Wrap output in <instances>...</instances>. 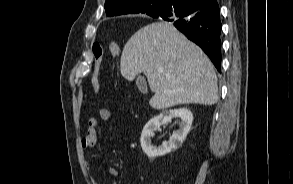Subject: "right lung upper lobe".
Wrapping results in <instances>:
<instances>
[{"mask_svg": "<svg viewBox=\"0 0 293 184\" xmlns=\"http://www.w3.org/2000/svg\"><path fill=\"white\" fill-rule=\"evenodd\" d=\"M155 1H158V0H106L104 8H105L107 16L146 13L147 15L154 17L160 13V12H156V13L151 12V5ZM166 1H167V6L165 7V9L172 7L175 3H177L180 0H166ZM193 1L203 3V6H207L209 4L217 2V0H193Z\"/></svg>", "mask_w": 293, "mask_h": 184, "instance_id": "obj_1", "label": "right lung upper lobe"}]
</instances>
